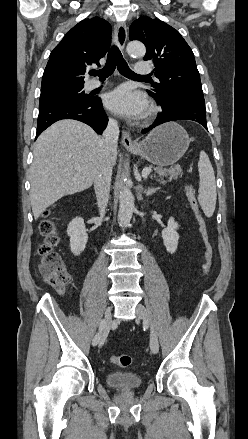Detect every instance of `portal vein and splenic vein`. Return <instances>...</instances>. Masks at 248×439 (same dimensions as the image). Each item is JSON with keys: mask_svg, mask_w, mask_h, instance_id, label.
<instances>
[{"mask_svg": "<svg viewBox=\"0 0 248 439\" xmlns=\"http://www.w3.org/2000/svg\"><path fill=\"white\" fill-rule=\"evenodd\" d=\"M151 171H152V169L151 168H144L143 169V171H142V176L144 177V178H147V176L151 173Z\"/></svg>", "mask_w": 248, "mask_h": 439, "instance_id": "obj_1", "label": "portal vein and splenic vein"}]
</instances>
